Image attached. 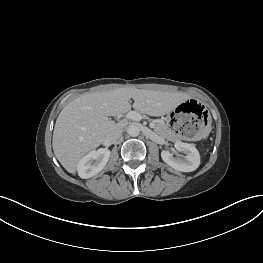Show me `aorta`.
I'll return each instance as SVG.
<instances>
[{
	"label": "aorta",
	"mask_w": 263,
	"mask_h": 263,
	"mask_svg": "<svg viewBox=\"0 0 263 263\" xmlns=\"http://www.w3.org/2000/svg\"><path fill=\"white\" fill-rule=\"evenodd\" d=\"M127 133L131 136V137H136L139 135L140 133V128L137 124H131L128 126L127 128Z\"/></svg>",
	"instance_id": "aorta-1"
}]
</instances>
